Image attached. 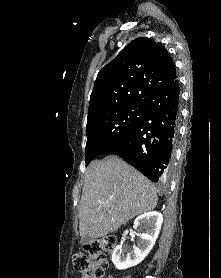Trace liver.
I'll return each mask as SVG.
<instances>
[{
	"mask_svg": "<svg viewBox=\"0 0 221 278\" xmlns=\"http://www.w3.org/2000/svg\"><path fill=\"white\" fill-rule=\"evenodd\" d=\"M155 186L117 156L91 162L79 205V232L94 238L117 231L136 216L153 210Z\"/></svg>",
	"mask_w": 221,
	"mask_h": 278,
	"instance_id": "obj_1",
	"label": "liver"
}]
</instances>
